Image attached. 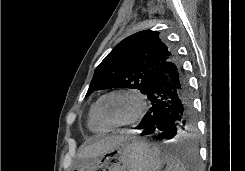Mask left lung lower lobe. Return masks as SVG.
<instances>
[{
    "instance_id": "obj_1",
    "label": "left lung lower lobe",
    "mask_w": 245,
    "mask_h": 171,
    "mask_svg": "<svg viewBox=\"0 0 245 171\" xmlns=\"http://www.w3.org/2000/svg\"><path fill=\"white\" fill-rule=\"evenodd\" d=\"M146 95L152 106L136 127L142 130V135L161 130L162 139H173L191 129L193 103L189 80L175 56L165 63ZM181 156L187 167L191 166L190 162H197L192 151H183Z\"/></svg>"
}]
</instances>
